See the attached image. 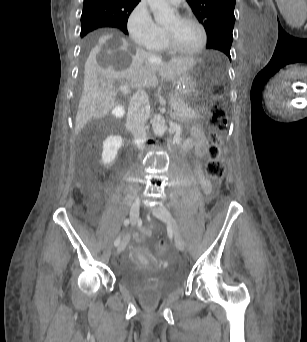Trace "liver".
Masks as SVG:
<instances>
[{
    "label": "liver",
    "instance_id": "liver-1",
    "mask_svg": "<svg viewBox=\"0 0 307 342\" xmlns=\"http://www.w3.org/2000/svg\"><path fill=\"white\" fill-rule=\"evenodd\" d=\"M113 34L100 36L84 66V86L76 116L75 134H79L89 120L105 118L116 102L113 82L124 78L132 88H149L158 82H174L178 76L196 66L195 58L174 56L163 62L162 56L140 50L138 44H128L124 38L111 40Z\"/></svg>",
    "mask_w": 307,
    "mask_h": 342
}]
</instances>
